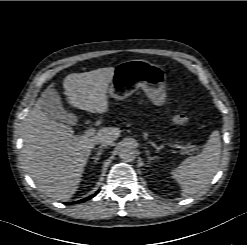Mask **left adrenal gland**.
<instances>
[{
    "mask_svg": "<svg viewBox=\"0 0 247 245\" xmlns=\"http://www.w3.org/2000/svg\"><path fill=\"white\" fill-rule=\"evenodd\" d=\"M146 155H147V158H148V164H150L152 160L157 158L156 156H153V157L150 156L149 150H146Z\"/></svg>",
    "mask_w": 247,
    "mask_h": 245,
    "instance_id": "obj_1",
    "label": "left adrenal gland"
}]
</instances>
